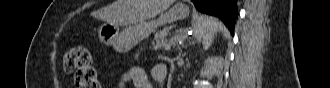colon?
<instances>
[{"label":"colon","instance_id":"colon-1","mask_svg":"<svg viewBox=\"0 0 330 88\" xmlns=\"http://www.w3.org/2000/svg\"><path fill=\"white\" fill-rule=\"evenodd\" d=\"M63 69L68 75L74 74L81 88H99L98 72L91 51L85 46H76L64 53Z\"/></svg>","mask_w":330,"mask_h":88}]
</instances>
